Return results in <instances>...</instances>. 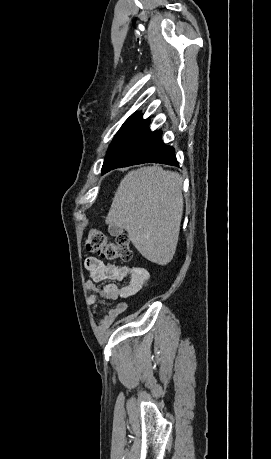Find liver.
I'll return each instance as SVG.
<instances>
[{
	"label": "liver",
	"mask_w": 271,
	"mask_h": 459,
	"mask_svg": "<svg viewBox=\"0 0 271 459\" xmlns=\"http://www.w3.org/2000/svg\"><path fill=\"white\" fill-rule=\"evenodd\" d=\"M182 214L181 176L156 164L121 180L106 224L126 229L146 259L166 265L176 251Z\"/></svg>",
	"instance_id": "6515ba94"
}]
</instances>
